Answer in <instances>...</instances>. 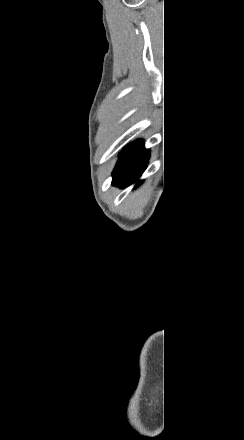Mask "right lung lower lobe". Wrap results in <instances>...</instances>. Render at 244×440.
<instances>
[{
  "mask_svg": "<svg viewBox=\"0 0 244 440\" xmlns=\"http://www.w3.org/2000/svg\"><path fill=\"white\" fill-rule=\"evenodd\" d=\"M149 156L150 151L144 148L143 141H135L125 147L113 171L112 184L125 188L136 182L144 172ZM140 184L138 182L137 186Z\"/></svg>",
  "mask_w": 244,
  "mask_h": 440,
  "instance_id": "98d812e1",
  "label": "right lung lower lobe"
}]
</instances>
